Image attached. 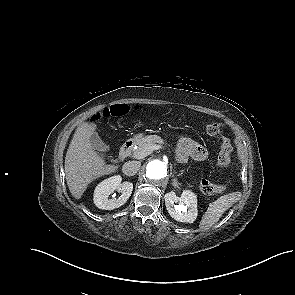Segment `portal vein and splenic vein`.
Wrapping results in <instances>:
<instances>
[{"label":"portal vein and splenic vein","instance_id":"1","mask_svg":"<svg viewBox=\"0 0 295 295\" xmlns=\"http://www.w3.org/2000/svg\"><path fill=\"white\" fill-rule=\"evenodd\" d=\"M160 148H162L160 145H153V146L150 147V151L157 150V149H160ZM134 157H136L138 159H141V158L145 157V154H137Z\"/></svg>","mask_w":295,"mask_h":295}]
</instances>
